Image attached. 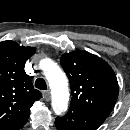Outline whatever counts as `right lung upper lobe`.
Wrapping results in <instances>:
<instances>
[{
    "label": "right lung upper lobe",
    "mask_w": 130,
    "mask_h": 130,
    "mask_svg": "<svg viewBox=\"0 0 130 130\" xmlns=\"http://www.w3.org/2000/svg\"><path fill=\"white\" fill-rule=\"evenodd\" d=\"M35 51L14 41L0 42V130L21 129L30 107L42 97L24 71L25 62Z\"/></svg>",
    "instance_id": "1"
}]
</instances>
